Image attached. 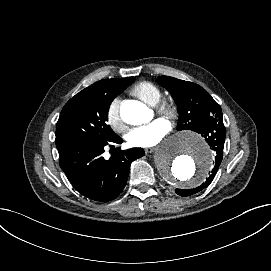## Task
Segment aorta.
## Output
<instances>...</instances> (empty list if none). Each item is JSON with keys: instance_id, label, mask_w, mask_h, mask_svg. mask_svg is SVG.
Wrapping results in <instances>:
<instances>
[{"instance_id": "762f6f07", "label": "aorta", "mask_w": 271, "mask_h": 271, "mask_svg": "<svg viewBox=\"0 0 271 271\" xmlns=\"http://www.w3.org/2000/svg\"><path fill=\"white\" fill-rule=\"evenodd\" d=\"M124 122L139 125L149 120V109L129 100L120 107ZM213 164L205 142L193 133H182L165 141L155 153V165L162 178L173 186L193 188L204 180Z\"/></svg>"}]
</instances>
